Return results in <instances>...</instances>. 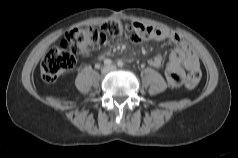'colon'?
Masks as SVG:
<instances>
[{
  "mask_svg": "<svg viewBox=\"0 0 238 158\" xmlns=\"http://www.w3.org/2000/svg\"><path fill=\"white\" fill-rule=\"evenodd\" d=\"M136 30L135 23L110 20L104 22L99 28H74L68 31L58 45L43 58L40 65L43 80L54 82L63 73L71 70L75 65L74 54L87 57L94 49L104 45L108 36L132 38ZM200 79V69H194L188 73L185 86L193 89L198 85Z\"/></svg>",
  "mask_w": 238,
  "mask_h": 158,
  "instance_id": "5ec220e1",
  "label": "colon"
}]
</instances>
